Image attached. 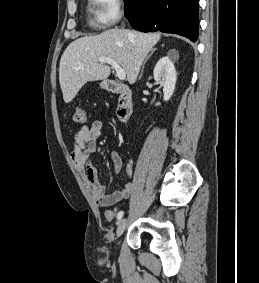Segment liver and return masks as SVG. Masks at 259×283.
<instances>
[{"mask_svg": "<svg viewBox=\"0 0 259 283\" xmlns=\"http://www.w3.org/2000/svg\"><path fill=\"white\" fill-rule=\"evenodd\" d=\"M160 38L158 33L114 28L71 42L59 65L64 102L70 103L87 82L108 78L111 69L98 61L101 57L111 58L121 65L128 82L134 84L145 57Z\"/></svg>", "mask_w": 259, "mask_h": 283, "instance_id": "6515ba94", "label": "liver"}]
</instances>
